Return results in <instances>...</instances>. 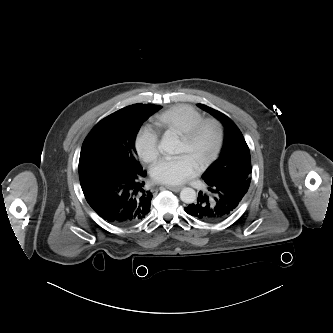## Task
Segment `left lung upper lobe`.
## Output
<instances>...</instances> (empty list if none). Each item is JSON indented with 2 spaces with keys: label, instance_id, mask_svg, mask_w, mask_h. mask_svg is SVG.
I'll return each instance as SVG.
<instances>
[{
  "label": "left lung upper lobe",
  "instance_id": "5c2ea615",
  "mask_svg": "<svg viewBox=\"0 0 333 333\" xmlns=\"http://www.w3.org/2000/svg\"><path fill=\"white\" fill-rule=\"evenodd\" d=\"M198 106L219 119L225 127V137L219 158L204 172L202 177H209L212 181H251L250 151L245 139L234 122L221 112L206 105Z\"/></svg>",
  "mask_w": 333,
  "mask_h": 333
}]
</instances>
